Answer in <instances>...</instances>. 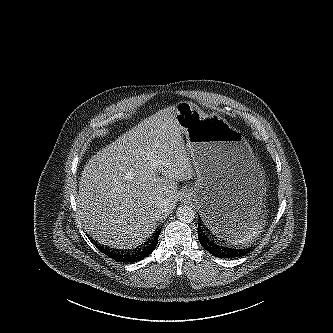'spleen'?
Returning a JSON list of instances; mask_svg holds the SVG:
<instances>
[{
    "mask_svg": "<svg viewBox=\"0 0 333 333\" xmlns=\"http://www.w3.org/2000/svg\"><path fill=\"white\" fill-rule=\"evenodd\" d=\"M263 225L264 223L259 221L250 227L231 231L226 237H228L229 241L235 245L248 244L259 236Z\"/></svg>",
    "mask_w": 333,
    "mask_h": 333,
    "instance_id": "spleen-1",
    "label": "spleen"
}]
</instances>
